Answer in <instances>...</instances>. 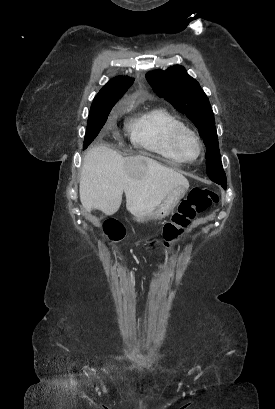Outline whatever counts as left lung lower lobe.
I'll return each mask as SVG.
<instances>
[{"label":"left lung lower lobe","instance_id":"0a47b994","mask_svg":"<svg viewBox=\"0 0 275 409\" xmlns=\"http://www.w3.org/2000/svg\"><path fill=\"white\" fill-rule=\"evenodd\" d=\"M224 189H226V186H222Z\"/></svg>","mask_w":275,"mask_h":409}]
</instances>
